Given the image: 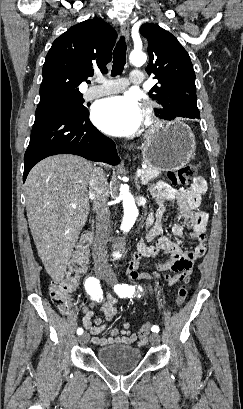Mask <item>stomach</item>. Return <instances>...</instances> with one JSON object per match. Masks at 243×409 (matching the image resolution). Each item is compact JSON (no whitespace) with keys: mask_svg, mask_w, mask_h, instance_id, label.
Returning <instances> with one entry per match:
<instances>
[{"mask_svg":"<svg viewBox=\"0 0 243 409\" xmlns=\"http://www.w3.org/2000/svg\"><path fill=\"white\" fill-rule=\"evenodd\" d=\"M144 162L159 171H172L185 166L192 159L196 143L190 127L175 120L146 137L142 145Z\"/></svg>","mask_w":243,"mask_h":409,"instance_id":"0dacf381","label":"stomach"}]
</instances>
